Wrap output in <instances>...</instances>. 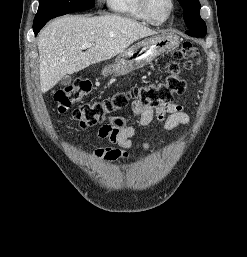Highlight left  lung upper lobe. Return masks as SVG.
Returning <instances> with one entry per match:
<instances>
[{"instance_id": "5c2ea615", "label": "left lung upper lobe", "mask_w": 247, "mask_h": 257, "mask_svg": "<svg viewBox=\"0 0 247 257\" xmlns=\"http://www.w3.org/2000/svg\"><path fill=\"white\" fill-rule=\"evenodd\" d=\"M183 8V17L189 31L186 33H194L205 36L207 28L203 19L200 17L199 0H178Z\"/></svg>"}]
</instances>
